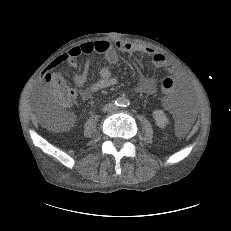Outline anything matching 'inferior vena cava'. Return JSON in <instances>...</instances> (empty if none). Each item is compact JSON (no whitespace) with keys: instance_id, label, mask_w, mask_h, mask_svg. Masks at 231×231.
<instances>
[{"instance_id":"1","label":"inferior vena cava","mask_w":231,"mask_h":231,"mask_svg":"<svg viewBox=\"0 0 231 231\" xmlns=\"http://www.w3.org/2000/svg\"><path fill=\"white\" fill-rule=\"evenodd\" d=\"M106 109L113 110V109H115V106L113 104H109V105H106Z\"/></svg>"}]
</instances>
